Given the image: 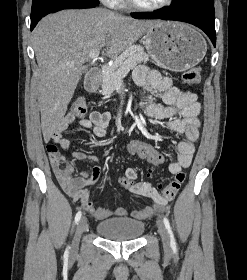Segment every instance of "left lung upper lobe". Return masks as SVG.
<instances>
[{
  "instance_id": "5c2ea615",
  "label": "left lung upper lobe",
  "mask_w": 247,
  "mask_h": 280,
  "mask_svg": "<svg viewBox=\"0 0 247 280\" xmlns=\"http://www.w3.org/2000/svg\"><path fill=\"white\" fill-rule=\"evenodd\" d=\"M196 5H214V0H174L170 7L177 9Z\"/></svg>"
}]
</instances>
